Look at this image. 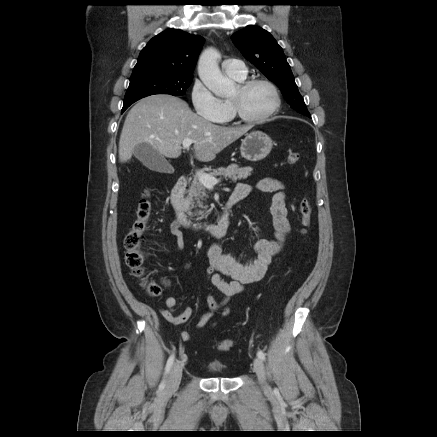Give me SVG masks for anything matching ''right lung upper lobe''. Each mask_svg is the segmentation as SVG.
I'll use <instances>...</instances> for the list:
<instances>
[{"label":"right lung upper lobe","instance_id":"obj_1","mask_svg":"<svg viewBox=\"0 0 437 437\" xmlns=\"http://www.w3.org/2000/svg\"><path fill=\"white\" fill-rule=\"evenodd\" d=\"M203 38L182 30L169 29L152 38L142 49L133 72L154 69L163 73L190 76Z\"/></svg>","mask_w":437,"mask_h":437}]
</instances>
